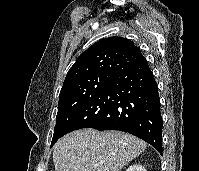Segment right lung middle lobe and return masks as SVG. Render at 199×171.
<instances>
[{"mask_svg":"<svg viewBox=\"0 0 199 171\" xmlns=\"http://www.w3.org/2000/svg\"><path fill=\"white\" fill-rule=\"evenodd\" d=\"M113 77L114 75L108 74L96 75L60 94L57 121L54 128L51 146H53L57 140L62 137L64 129L71 122L80 108Z\"/></svg>","mask_w":199,"mask_h":171,"instance_id":"obj_1","label":"right lung middle lobe"}]
</instances>
